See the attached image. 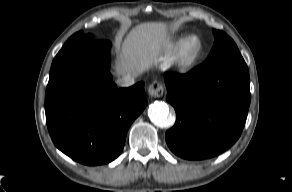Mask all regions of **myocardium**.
Listing matches in <instances>:
<instances>
[{"label":"myocardium","instance_id":"f54148a6","mask_svg":"<svg viewBox=\"0 0 292 192\" xmlns=\"http://www.w3.org/2000/svg\"><path fill=\"white\" fill-rule=\"evenodd\" d=\"M194 41L196 47L193 51H188L189 44ZM203 51V43L197 35H188L180 40L172 55V63L179 71H188L194 67Z\"/></svg>","mask_w":292,"mask_h":192}]
</instances>
